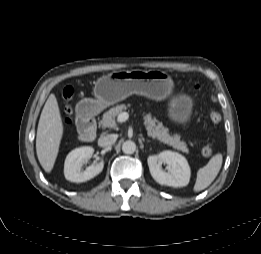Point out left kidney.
Masks as SVG:
<instances>
[{"mask_svg":"<svg viewBox=\"0 0 261 254\" xmlns=\"http://www.w3.org/2000/svg\"><path fill=\"white\" fill-rule=\"evenodd\" d=\"M147 162L151 176L157 183L172 187L188 185L191 170L186 158L181 154L167 150L149 156ZM162 163L167 164L168 172L162 169Z\"/></svg>","mask_w":261,"mask_h":254,"instance_id":"obj_1","label":"left kidney"}]
</instances>
